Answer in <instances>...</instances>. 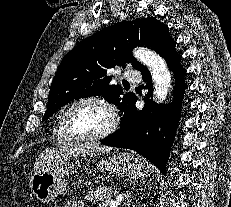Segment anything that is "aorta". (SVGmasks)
Returning a JSON list of instances; mask_svg holds the SVG:
<instances>
[{
	"instance_id": "1",
	"label": "aorta",
	"mask_w": 231,
	"mask_h": 207,
	"mask_svg": "<svg viewBox=\"0 0 231 207\" xmlns=\"http://www.w3.org/2000/svg\"><path fill=\"white\" fill-rule=\"evenodd\" d=\"M133 55L151 71L154 83V100L157 103L164 102L171 85V74L165 60L155 52L143 47L135 49Z\"/></svg>"
}]
</instances>
